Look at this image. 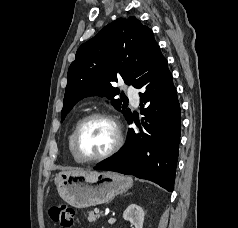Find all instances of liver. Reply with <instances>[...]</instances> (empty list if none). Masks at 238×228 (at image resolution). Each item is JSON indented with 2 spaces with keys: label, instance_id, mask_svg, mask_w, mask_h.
I'll return each instance as SVG.
<instances>
[{
  "label": "liver",
  "instance_id": "obj_1",
  "mask_svg": "<svg viewBox=\"0 0 238 228\" xmlns=\"http://www.w3.org/2000/svg\"><path fill=\"white\" fill-rule=\"evenodd\" d=\"M71 171H82V170H80V169H76V170H71Z\"/></svg>",
  "mask_w": 238,
  "mask_h": 228
}]
</instances>
